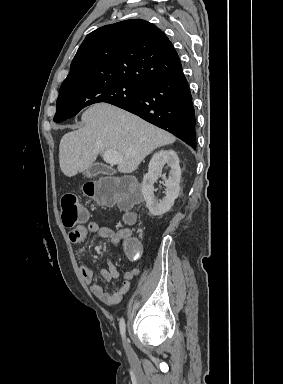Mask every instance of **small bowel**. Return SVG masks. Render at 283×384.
Here are the masks:
<instances>
[{
	"mask_svg": "<svg viewBox=\"0 0 283 384\" xmlns=\"http://www.w3.org/2000/svg\"><path fill=\"white\" fill-rule=\"evenodd\" d=\"M89 234H97L101 238H108L114 241L117 237L111 227L98 222H89L87 225H79L72 229L69 233V239L73 243L82 242ZM80 272L83 280L89 285L92 294L97 297L106 305H116L123 299L124 295L129 291L132 279L139 273L136 268L121 271L112 262L107 264L99 270L100 277L107 281H113L122 275L123 283L119 288L111 293L104 291V289L94 282L92 271L84 264L80 266Z\"/></svg>",
	"mask_w": 283,
	"mask_h": 384,
	"instance_id": "small-bowel-1",
	"label": "small bowel"
}]
</instances>
